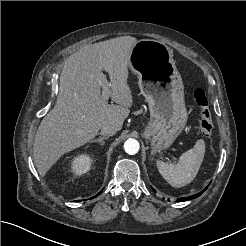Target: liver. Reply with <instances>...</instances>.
I'll use <instances>...</instances> for the list:
<instances>
[{"instance_id": "1", "label": "liver", "mask_w": 246, "mask_h": 246, "mask_svg": "<svg viewBox=\"0 0 246 246\" xmlns=\"http://www.w3.org/2000/svg\"><path fill=\"white\" fill-rule=\"evenodd\" d=\"M137 39L122 36L86 45L65 62L59 94L53 109L41 121L34 139L33 156L44 177L65 153L93 139L103 125L121 130L133 97L127 83L130 53ZM110 78V97L102 99V84Z\"/></svg>"}]
</instances>
